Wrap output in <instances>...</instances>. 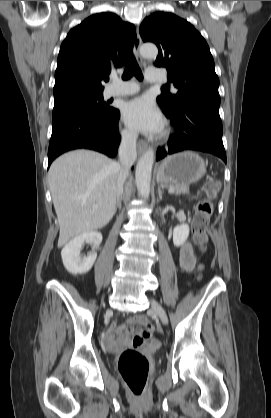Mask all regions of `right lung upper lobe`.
Here are the masks:
<instances>
[{
  "label": "right lung upper lobe",
  "mask_w": 271,
  "mask_h": 418,
  "mask_svg": "<svg viewBox=\"0 0 271 418\" xmlns=\"http://www.w3.org/2000/svg\"><path fill=\"white\" fill-rule=\"evenodd\" d=\"M136 39L135 27L114 13L90 16L63 41L55 71V101L103 93V81L121 67Z\"/></svg>",
  "instance_id": "cb5924a9"
}]
</instances>
